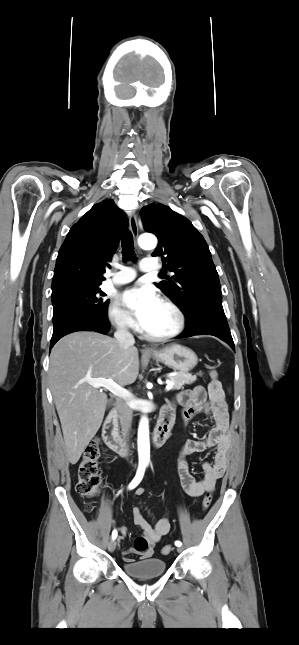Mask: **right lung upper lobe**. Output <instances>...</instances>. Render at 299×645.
I'll return each mask as SVG.
<instances>
[{"instance_id": "1", "label": "right lung upper lobe", "mask_w": 299, "mask_h": 645, "mask_svg": "<svg viewBox=\"0 0 299 645\" xmlns=\"http://www.w3.org/2000/svg\"><path fill=\"white\" fill-rule=\"evenodd\" d=\"M126 215L112 200L95 204L70 229L52 279V294L70 287H94L105 279V267L118 247Z\"/></svg>"}]
</instances>
